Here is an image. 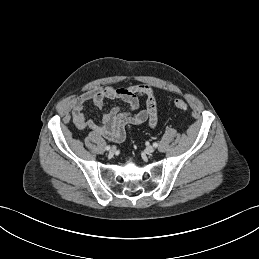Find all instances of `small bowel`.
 Masks as SVG:
<instances>
[{"label": "small bowel", "mask_w": 259, "mask_h": 259, "mask_svg": "<svg viewBox=\"0 0 259 259\" xmlns=\"http://www.w3.org/2000/svg\"><path fill=\"white\" fill-rule=\"evenodd\" d=\"M141 97L146 99V106L142 110ZM116 99L124 101L127 108L111 107L103 113L101 123L85 117L86 104L93 103L98 108H103L106 100ZM70 103L72 121L79 130L89 129L115 143L125 140L126 129L129 126L147 123L150 127H155L157 124L155 94L148 85L98 88L71 99Z\"/></svg>", "instance_id": "obj_1"}]
</instances>
